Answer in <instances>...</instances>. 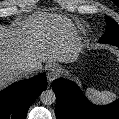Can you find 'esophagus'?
Returning a JSON list of instances; mask_svg holds the SVG:
<instances>
[{"instance_id":"esophagus-1","label":"esophagus","mask_w":119,"mask_h":119,"mask_svg":"<svg viewBox=\"0 0 119 119\" xmlns=\"http://www.w3.org/2000/svg\"><path fill=\"white\" fill-rule=\"evenodd\" d=\"M60 75V69L57 66H52L48 69L47 79L49 82H52Z\"/></svg>"}]
</instances>
